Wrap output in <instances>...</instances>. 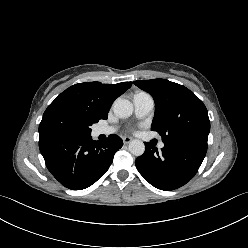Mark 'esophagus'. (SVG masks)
<instances>
[{
	"label": "esophagus",
	"mask_w": 248,
	"mask_h": 248,
	"mask_svg": "<svg viewBox=\"0 0 248 248\" xmlns=\"http://www.w3.org/2000/svg\"><path fill=\"white\" fill-rule=\"evenodd\" d=\"M132 141V137H129V136H125L123 137V143L124 144H128Z\"/></svg>",
	"instance_id": "esophagus-1"
}]
</instances>
